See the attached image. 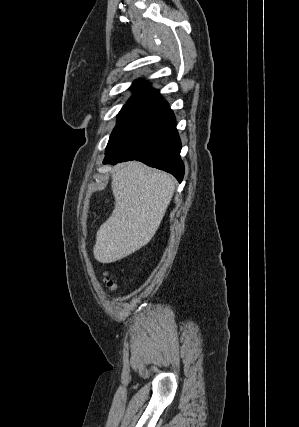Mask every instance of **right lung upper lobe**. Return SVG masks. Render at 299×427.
I'll return each mask as SVG.
<instances>
[{
	"label": "right lung upper lobe",
	"mask_w": 299,
	"mask_h": 427,
	"mask_svg": "<svg viewBox=\"0 0 299 427\" xmlns=\"http://www.w3.org/2000/svg\"><path fill=\"white\" fill-rule=\"evenodd\" d=\"M134 93L130 100L157 103L161 101L159 91L152 89L146 81L138 80L131 86Z\"/></svg>",
	"instance_id": "1"
}]
</instances>
